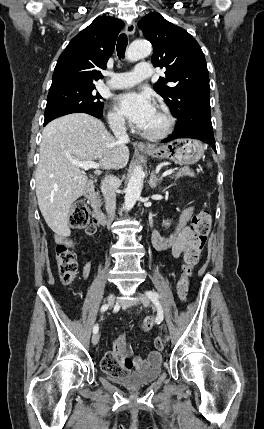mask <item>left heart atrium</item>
<instances>
[{
	"mask_svg": "<svg viewBox=\"0 0 264 429\" xmlns=\"http://www.w3.org/2000/svg\"><path fill=\"white\" fill-rule=\"evenodd\" d=\"M118 110L132 124L143 128L155 111L147 93L128 92L118 97Z\"/></svg>",
	"mask_w": 264,
	"mask_h": 429,
	"instance_id": "obj_1",
	"label": "left heart atrium"
}]
</instances>
